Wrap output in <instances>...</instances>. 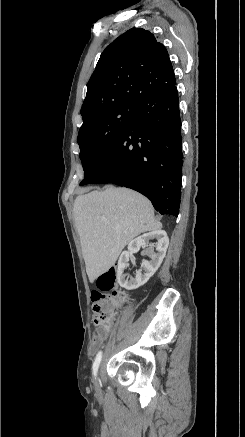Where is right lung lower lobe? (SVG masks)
I'll use <instances>...</instances> for the list:
<instances>
[{
    "label": "right lung lower lobe",
    "instance_id": "right-lung-lower-lobe-1",
    "mask_svg": "<svg viewBox=\"0 0 245 437\" xmlns=\"http://www.w3.org/2000/svg\"><path fill=\"white\" fill-rule=\"evenodd\" d=\"M182 137L177 89L139 102L114 150L85 179L136 190L161 214H179Z\"/></svg>",
    "mask_w": 245,
    "mask_h": 437
}]
</instances>
